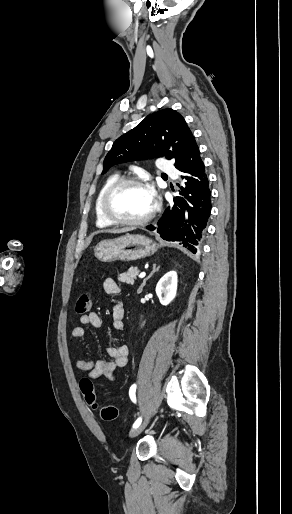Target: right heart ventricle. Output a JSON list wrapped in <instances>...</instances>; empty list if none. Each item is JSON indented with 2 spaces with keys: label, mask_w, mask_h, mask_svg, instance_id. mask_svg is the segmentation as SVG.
I'll use <instances>...</instances> for the list:
<instances>
[{
  "label": "right heart ventricle",
  "mask_w": 292,
  "mask_h": 514,
  "mask_svg": "<svg viewBox=\"0 0 292 514\" xmlns=\"http://www.w3.org/2000/svg\"><path fill=\"white\" fill-rule=\"evenodd\" d=\"M117 179H119V175L118 174H113L111 176H109L106 181L103 183V185L101 186V188L98 190V192L96 193L95 195V198H94V216H95V222H96V225L100 228H105V227H109L112 223L109 222L104 216L103 214L101 213L100 211V198L102 196V193L104 192V190L111 184L113 183L114 181H116Z\"/></svg>",
  "instance_id": "1"
}]
</instances>
